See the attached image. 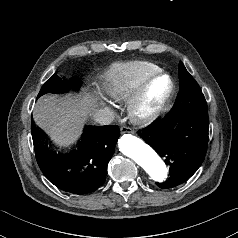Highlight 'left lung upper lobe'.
I'll list each match as a JSON object with an SVG mask.
<instances>
[{
	"label": "left lung upper lobe",
	"mask_w": 238,
	"mask_h": 238,
	"mask_svg": "<svg viewBox=\"0 0 238 238\" xmlns=\"http://www.w3.org/2000/svg\"><path fill=\"white\" fill-rule=\"evenodd\" d=\"M178 105H184L187 108L207 106L199 85L186 70L182 62L179 63V93L175 101V106Z\"/></svg>",
	"instance_id": "5c2ea615"
}]
</instances>
